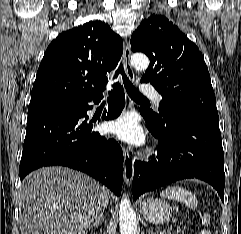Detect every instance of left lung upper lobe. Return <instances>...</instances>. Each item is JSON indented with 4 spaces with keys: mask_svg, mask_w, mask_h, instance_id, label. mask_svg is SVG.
<instances>
[{
    "mask_svg": "<svg viewBox=\"0 0 241 234\" xmlns=\"http://www.w3.org/2000/svg\"><path fill=\"white\" fill-rule=\"evenodd\" d=\"M131 49L149 57L141 82H150L162 95L160 114L141 109L149 118L163 122L166 109L219 118L202 53L176 25L161 15L144 19L132 34Z\"/></svg>",
    "mask_w": 241,
    "mask_h": 234,
    "instance_id": "1",
    "label": "left lung upper lobe"
}]
</instances>
